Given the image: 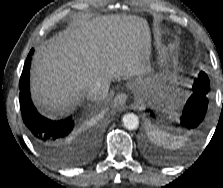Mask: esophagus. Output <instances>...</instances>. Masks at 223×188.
Instances as JSON below:
<instances>
[{
	"instance_id": "1",
	"label": "esophagus",
	"mask_w": 223,
	"mask_h": 188,
	"mask_svg": "<svg viewBox=\"0 0 223 188\" xmlns=\"http://www.w3.org/2000/svg\"><path fill=\"white\" fill-rule=\"evenodd\" d=\"M127 100H128V97L125 93L118 94L112 102V108L116 111L124 110L126 107Z\"/></svg>"
}]
</instances>
